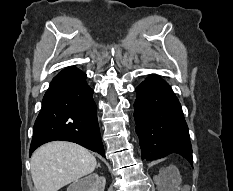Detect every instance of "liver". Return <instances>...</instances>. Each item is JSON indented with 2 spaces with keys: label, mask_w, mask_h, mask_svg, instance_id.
Returning <instances> with one entry per match:
<instances>
[{
  "label": "liver",
  "mask_w": 233,
  "mask_h": 191,
  "mask_svg": "<svg viewBox=\"0 0 233 191\" xmlns=\"http://www.w3.org/2000/svg\"><path fill=\"white\" fill-rule=\"evenodd\" d=\"M96 165V158L82 146L53 141L33 153L31 175L36 191H58L92 173Z\"/></svg>",
  "instance_id": "1"
}]
</instances>
